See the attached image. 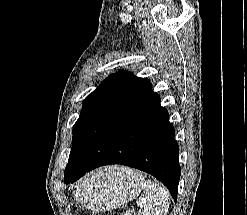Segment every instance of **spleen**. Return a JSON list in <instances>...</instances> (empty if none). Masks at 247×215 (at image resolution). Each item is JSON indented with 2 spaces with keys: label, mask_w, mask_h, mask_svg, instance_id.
Returning a JSON list of instances; mask_svg holds the SVG:
<instances>
[{
  "label": "spleen",
  "mask_w": 247,
  "mask_h": 215,
  "mask_svg": "<svg viewBox=\"0 0 247 215\" xmlns=\"http://www.w3.org/2000/svg\"><path fill=\"white\" fill-rule=\"evenodd\" d=\"M144 195L136 203L141 208V215H167L170 205L169 192L166 188L151 181H144L142 176Z\"/></svg>",
  "instance_id": "spleen-1"
}]
</instances>
